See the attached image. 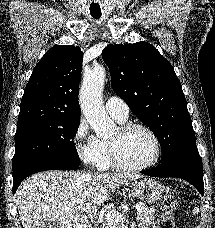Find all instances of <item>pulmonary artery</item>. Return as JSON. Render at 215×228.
<instances>
[{
    "instance_id": "1",
    "label": "pulmonary artery",
    "mask_w": 215,
    "mask_h": 228,
    "mask_svg": "<svg viewBox=\"0 0 215 228\" xmlns=\"http://www.w3.org/2000/svg\"><path fill=\"white\" fill-rule=\"evenodd\" d=\"M107 112L122 121H126L129 114L128 105L121 98L110 97L106 102Z\"/></svg>"
}]
</instances>
